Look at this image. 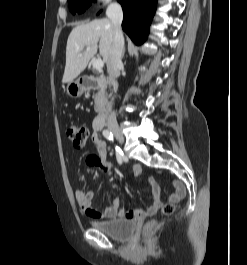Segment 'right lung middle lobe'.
<instances>
[{"label": "right lung middle lobe", "instance_id": "right-lung-middle-lobe-1", "mask_svg": "<svg viewBox=\"0 0 247 265\" xmlns=\"http://www.w3.org/2000/svg\"><path fill=\"white\" fill-rule=\"evenodd\" d=\"M68 4L70 11L75 14L76 12L83 13L91 5V2L90 0H68Z\"/></svg>", "mask_w": 247, "mask_h": 265}]
</instances>
